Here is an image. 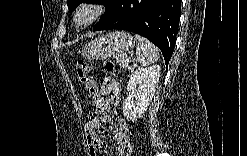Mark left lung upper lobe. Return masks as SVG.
<instances>
[{
	"instance_id": "5c2ea615",
	"label": "left lung upper lobe",
	"mask_w": 247,
	"mask_h": 156,
	"mask_svg": "<svg viewBox=\"0 0 247 156\" xmlns=\"http://www.w3.org/2000/svg\"><path fill=\"white\" fill-rule=\"evenodd\" d=\"M117 0H104L103 3L105 4V13L102 15L101 19L104 18L107 13L110 11V9L114 6ZM82 2H85V0H67V6L69 8V12H72L75 10V8L81 4ZM100 19V20H101Z\"/></svg>"
}]
</instances>
